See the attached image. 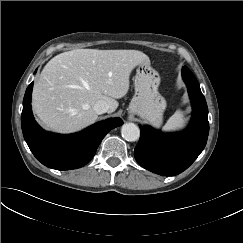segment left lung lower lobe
Returning a JSON list of instances; mask_svg holds the SVG:
<instances>
[{
	"label": "left lung lower lobe",
	"instance_id": "obj_1",
	"mask_svg": "<svg viewBox=\"0 0 243 243\" xmlns=\"http://www.w3.org/2000/svg\"><path fill=\"white\" fill-rule=\"evenodd\" d=\"M182 76L193 109L189 127L177 134H164L140 125L141 137L134 151L142 167L163 176L186 170L203 151L209 133L208 108L199 83L186 66L182 68Z\"/></svg>",
	"mask_w": 243,
	"mask_h": 243
}]
</instances>
